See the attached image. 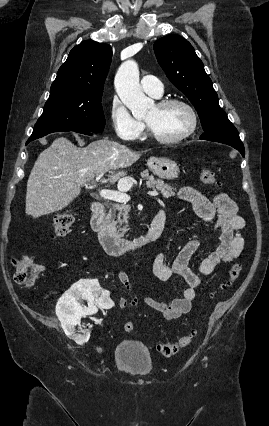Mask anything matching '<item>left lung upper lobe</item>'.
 <instances>
[{"label":"left lung upper lobe","instance_id":"obj_1","mask_svg":"<svg viewBox=\"0 0 269 426\" xmlns=\"http://www.w3.org/2000/svg\"><path fill=\"white\" fill-rule=\"evenodd\" d=\"M154 52L168 79L194 105L207 139L239 136L225 111L219 106L212 81L192 45L183 37L170 34L157 40Z\"/></svg>","mask_w":269,"mask_h":426}]
</instances>
